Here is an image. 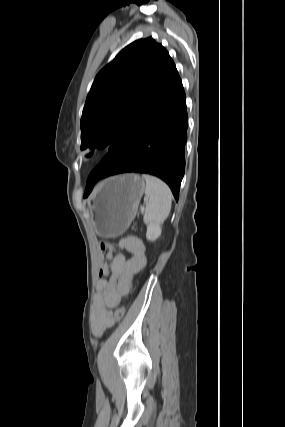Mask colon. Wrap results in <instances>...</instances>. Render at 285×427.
Here are the masks:
<instances>
[{
	"label": "colon",
	"mask_w": 285,
	"mask_h": 427,
	"mask_svg": "<svg viewBox=\"0 0 285 427\" xmlns=\"http://www.w3.org/2000/svg\"><path fill=\"white\" fill-rule=\"evenodd\" d=\"M100 251V267L99 275L100 277H105L108 274V268L112 256L115 253V248L112 244L108 242H101L99 244ZM125 314V308L123 306L118 307L112 315L111 326L118 323Z\"/></svg>",
	"instance_id": "colon-1"
}]
</instances>
